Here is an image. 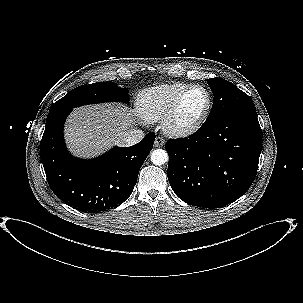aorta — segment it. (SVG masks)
<instances>
[{
	"label": "aorta",
	"instance_id": "1",
	"mask_svg": "<svg viewBox=\"0 0 303 303\" xmlns=\"http://www.w3.org/2000/svg\"><path fill=\"white\" fill-rule=\"evenodd\" d=\"M151 161L154 165H163L168 162V154L163 149H156L151 153Z\"/></svg>",
	"mask_w": 303,
	"mask_h": 303
}]
</instances>
